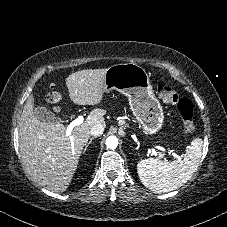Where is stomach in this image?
I'll return each instance as SVG.
<instances>
[{
	"instance_id": "stomach-1",
	"label": "stomach",
	"mask_w": 227,
	"mask_h": 227,
	"mask_svg": "<svg viewBox=\"0 0 227 227\" xmlns=\"http://www.w3.org/2000/svg\"><path fill=\"white\" fill-rule=\"evenodd\" d=\"M105 91L117 90L128 97L131 110L146 134H156L164 122L162 107L155 97L149 74L135 63L110 66L105 74Z\"/></svg>"
}]
</instances>
